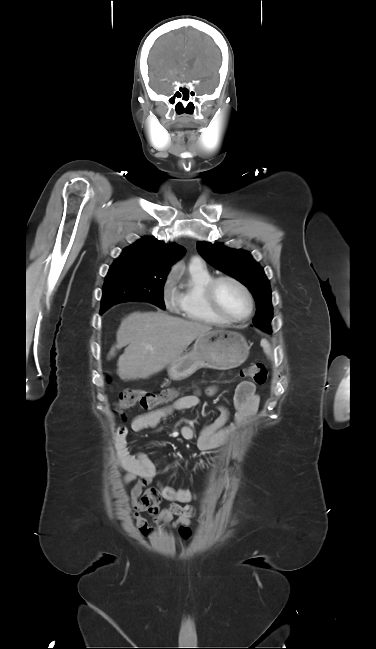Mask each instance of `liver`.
<instances>
[{
	"mask_svg": "<svg viewBox=\"0 0 376 649\" xmlns=\"http://www.w3.org/2000/svg\"><path fill=\"white\" fill-rule=\"evenodd\" d=\"M212 327L195 321L173 317L165 312H134L121 321L116 333V349L127 346L117 362V374L123 381L145 379L160 372L181 356L202 333Z\"/></svg>",
	"mask_w": 376,
	"mask_h": 649,
	"instance_id": "1",
	"label": "liver"
}]
</instances>
